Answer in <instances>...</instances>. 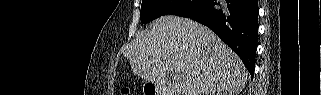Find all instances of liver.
I'll list each match as a JSON object with an SVG mask.
<instances>
[{"instance_id":"liver-1","label":"liver","mask_w":321,"mask_h":95,"mask_svg":"<svg viewBox=\"0 0 321 95\" xmlns=\"http://www.w3.org/2000/svg\"><path fill=\"white\" fill-rule=\"evenodd\" d=\"M123 55L132 71L148 82L164 85L172 76L175 95H238L248 80L240 58L214 32L177 16L153 21Z\"/></svg>"}]
</instances>
